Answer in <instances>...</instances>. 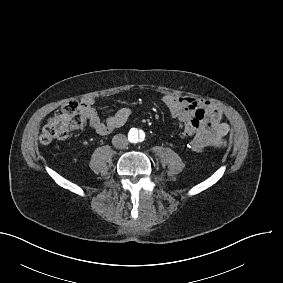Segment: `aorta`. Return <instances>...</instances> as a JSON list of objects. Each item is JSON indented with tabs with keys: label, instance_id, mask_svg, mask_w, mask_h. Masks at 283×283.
I'll return each mask as SVG.
<instances>
[{
	"label": "aorta",
	"instance_id": "obj_1",
	"mask_svg": "<svg viewBox=\"0 0 283 283\" xmlns=\"http://www.w3.org/2000/svg\"><path fill=\"white\" fill-rule=\"evenodd\" d=\"M145 132L138 128H131L128 133V139L131 143L142 142L145 139Z\"/></svg>",
	"mask_w": 283,
	"mask_h": 283
}]
</instances>
